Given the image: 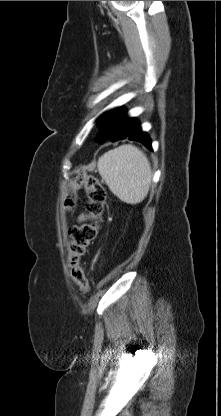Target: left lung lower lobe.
<instances>
[{"mask_svg": "<svg viewBox=\"0 0 221 416\" xmlns=\"http://www.w3.org/2000/svg\"><path fill=\"white\" fill-rule=\"evenodd\" d=\"M124 138H127L128 140L141 142L148 149H152L150 137L147 135L146 132H143L141 130L140 123L137 120L133 121L130 132Z\"/></svg>", "mask_w": 221, "mask_h": 416, "instance_id": "obj_1", "label": "left lung lower lobe"}]
</instances>
